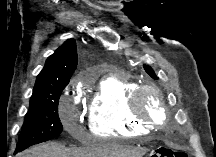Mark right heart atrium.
Returning <instances> with one entry per match:
<instances>
[{
	"instance_id": "1",
	"label": "right heart atrium",
	"mask_w": 216,
	"mask_h": 157,
	"mask_svg": "<svg viewBox=\"0 0 216 157\" xmlns=\"http://www.w3.org/2000/svg\"><path fill=\"white\" fill-rule=\"evenodd\" d=\"M63 123L66 128L70 129L72 128L73 124L75 123V118L73 115H66L63 117Z\"/></svg>"
}]
</instances>
